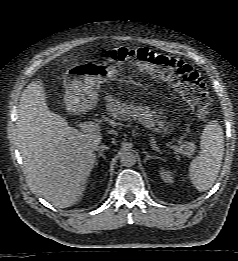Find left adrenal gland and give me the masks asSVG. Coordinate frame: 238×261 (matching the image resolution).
<instances>
[{"instance_id":"obj_1","label":"left adrenal gland","mask_w":238,"mask_h":261,"mask_svg":"<svg viewBox=\"0 0 238 261\" xmlns=\"http://www.w3.org/2000/svg\"><path fill=\"white\" fill-rule=\"evenodd\" d=\"M146 154L145 162L150 159H157L158 157L150 155L147 151H143Z\"/></svg>"}]
</instances>
